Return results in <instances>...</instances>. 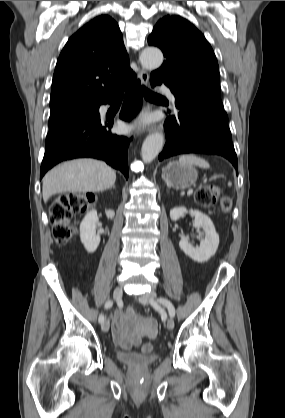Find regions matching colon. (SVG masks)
<instances>
[{"mask_svg": "<svg viewBox=\"0 0 285 418\" xmlns=\"http://www.w3.org/2000/svg\"><path fill=\"white\" fill-rule=\"evenodd\" d=\"M196 202L204 207L211 208L218 205L224 212L231 208L232 201L229 196L223 195L215 184H207L195 192ZM88 206L86 196L77 192H64L58 195L50 208V219L54 225L53 237L58 244H66L76 234V228L71 219L80 214ZM144 353H151L153 345L145 342L141 346Z\"/></svg>", "mask_w": 285, "mask_h": 418, "instance_id": "colon-1", "label": "colon"}]
</instances>
